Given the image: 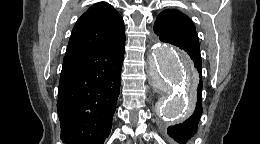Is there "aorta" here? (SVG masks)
I'll return each instance as SVG.
<instances>
[{
    "instance_id": "762f6f07",
    "label": "aorta",
    "mask_w": 260,
    "mask_h": 144,
    "mask_svg": "<svg viewBox=\"0 0 260 144\" xmlns=\"http://www.w3.org/2000/svg\"><path fill=\"white\" fill-rule=\"evenodd\" d=\"M192 74L193 66L183 51L160 42L153 47L151 53L153 86L170 92L157 103L163 118L182 117L189 112L187 92Z\"/></svg>"
}]
</instances>
